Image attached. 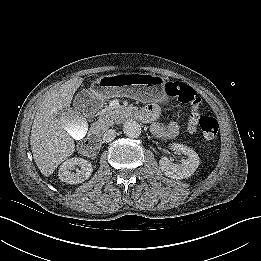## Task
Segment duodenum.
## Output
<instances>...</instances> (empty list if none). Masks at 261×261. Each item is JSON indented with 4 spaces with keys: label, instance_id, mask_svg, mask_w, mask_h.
I'll return each mask as SVG.
<instances>
[{
    "label": "duodenum",
    "instance_id": "410a0bca",
    "mask_svg": "<svg viewBox=\"0 0 261 261\" xmlns=\"http://www.w3.org/2000/svg\"><path fill=\"white\" fill-rule=\"evenodd\" d=\"M127 114L131 117H135L139 115V113L134 109H129L126 111ZM101 146L100 137L97 134L96 130H94L91 136L84 142L79 145V151L84 156H90L94 154Z\"/></svg>",
    "mask_w": 261,
    "mask_h": 261
}]
</instances>
